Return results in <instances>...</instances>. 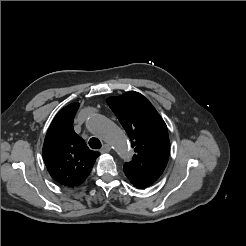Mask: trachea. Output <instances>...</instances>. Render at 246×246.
I'll list each match as a JSON object with an SVG mask.
<instances>
[{
    "mask_svg": "<svg viewBox=\"0 0 246 246\" xmlns=\"http://www.w3.org/2000/svg\"><path fill=\"white\" fill-rule=\"evenodd\" d=\"M89 145L93 149H100L102 146L100 140L94 137L89 140Z\"/></svg>",
    "mask_w": 246,
    "mask_h": 246,
    "instance_id": "trachea-1",
    "label": "trachea"
}]
</instances>
